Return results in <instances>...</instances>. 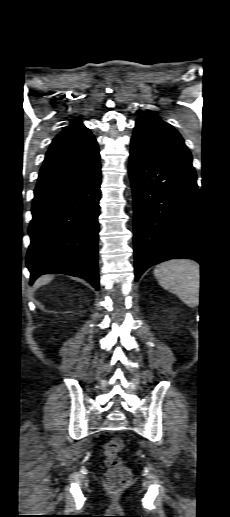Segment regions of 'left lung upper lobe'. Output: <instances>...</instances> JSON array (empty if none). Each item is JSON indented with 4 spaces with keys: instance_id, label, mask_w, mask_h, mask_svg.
I'll return each mask as SVG.
<instances>
[{
    "instance_id": "1",
    "label": "left lung upper lobe",
    "mask_w": 230,
    "mask_h": 517,
    "mask_svg": "<svg viewBox=\"0 0 230 517\" xmlns=\"http://www.w3.org/2000/svg\"><path fill=\"white\" fill-rule=\"evenodd\" d=\"M131 147L161 159L191 165L192 156L181 135L160 118L144 113L136 122Z\"/></svg>"
}]
</instances>
